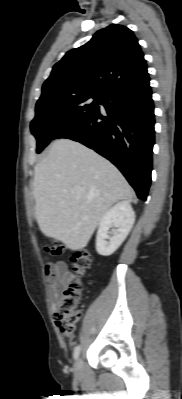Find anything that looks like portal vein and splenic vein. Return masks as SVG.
Masks as SVG:
<instances>
[{"label":"portal vein and splenic vein","mask_w":182,"mask_h":399,"mask_svg":"<svg viewBox=\"0 0 182 399\" xmlns=\"http://www.w3.org/2000/svg\"><path fill=\"white\" fill-rule=\"evenodd\" d=\"M77 191L79 192V193H82L83 191H84V189L83 188H77Z\"/></svg>","instance_id":"obj_1"}]
</instances>
